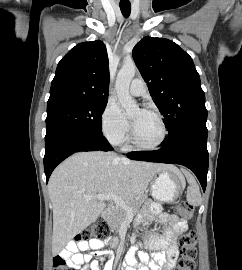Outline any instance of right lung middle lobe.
Instances as JSON below:
<instances>
[{"mask_svg": "<svg viewBox=\"0 0 242 270\" xmlns=\"http://www.w3.org/2000/svg\"><path fill=\"white\" fill-rule=\"evenodd\" d=\"M107 101H65L47 105L46 136L80 131L102 136L101 116Z\"/></svg>", "mask_w": 242, "mask_h": 270, "instance_id": "obj_1", "label": "right lung middle lobe"}]
</instances>
